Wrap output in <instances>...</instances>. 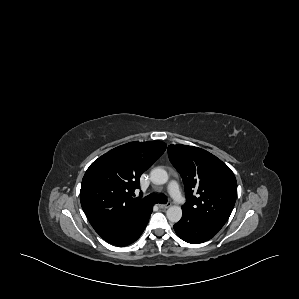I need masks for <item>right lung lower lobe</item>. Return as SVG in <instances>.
<instances>
[{"instance_id": "98d812e1", "label": "right lung lower lobe", "mask_w": 299, "mask_h": 299, "mask_svg": "<svg viewBox=\"0 0 299 299\" xmlns=\"http://www.w3.org/2000/svg\"><path fill=\"white\" fill-rule=\"evenodd\" d=\"M153 207V206H152ZM152 213V208L144 215L141 219L118 225L115 227H110L97 232L105 241L122 247L127 246L134 241H136L142 232L144 231L150 215Z\"/></svg>"}]
</instances>
